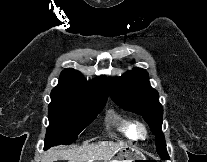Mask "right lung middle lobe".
Instances as JSON below:
<instances>
[{"mask_svg": "<svg viewBox=\"0 0 207 162\" xmlns=\"http://www.w3.org/2000/svg\"><path fill=\"white\" fill-rule=\"evenodd\" d=\"M106 100L51 94L45 148L75 141L80 132L101 112Z\"/></svg>", "mask_w": 207, "mask_h": 162, "instance_id": "obj_1", "label": "right lung middle lobe"}]
</instances>
